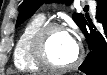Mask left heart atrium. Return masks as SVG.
I'll use <instances>...</instances> for the list:
<instances>
[{
  "instance_id": "1",
  "label": "left heart atrium",
  "mask_w": 107,
  "mask_h": 75,
  "mask_svg": "<svg viewBox=\"0 0 107 75\" xmlns=\"http://www.w3.org/2000/svg\"><path fill=\"white\" fill-rule=\"evenodd\" d=\"M67 35L70 39V41L77 46V40H78V35H77V30L75 27H72L69 29L67 32Z\"/></svg>"
}]
</instances>
